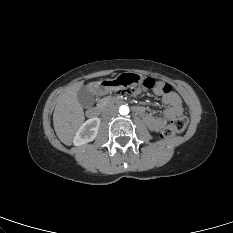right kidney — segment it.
Masks as SVG:
<instances>
[{
  "mask_svg": "<svg viewBox=\"0 0 233 233\" xmlns=\"http://www.w3.org/2000/svg\"><path fill=\"white\" fill-rule=\"evenodd\" d=\"M99 126L100 119L97 117L91 118L84 122L74 137V145L80 146L93 141L97 136Z\"/></svg>",
  "mask_w": 233,
  "mask_h": 233,
  "instance_id": "ca27d5eb",
  "label": "right kidney"
}]
</instances>
